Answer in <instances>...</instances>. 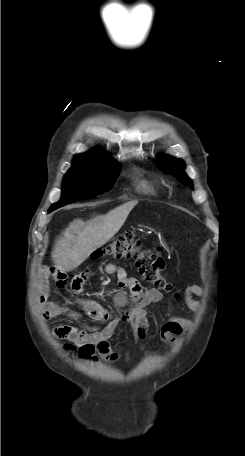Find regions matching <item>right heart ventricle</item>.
I'll use <instances>...</instances> for the list:
<instances>
[{"instance_id":"obj_1","label":"right heart ventricle","mask_w":245,"mask_h":456,"mask_svg":"<svg viewBox=\"0 0 245 456\" xmlns=\"http://www.w3.org/2000/svg\"><path fill=\"white\" fill-rule=\"evenodd\" d=\"M139 185L142 189H144L146 191H153V189H154L153 186L145 180H140Z\"/></svg>"}]
</instances>
